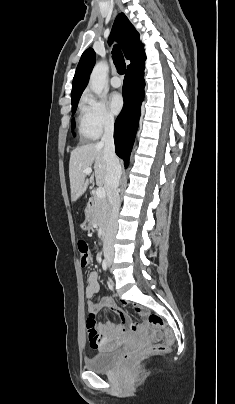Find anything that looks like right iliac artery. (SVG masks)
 Wrapping results in <instances>:
<instances>
[{
	"instance_id": "82829eb1",
	"label": "right iliac artery",
	"mask_w": 235,
	"mask_h": 404,
	"mask_svg": "<svg viewBox=\"0 0 235 404\" xmlns=\"http://www.w3.org/2000/svg\"><path fill=\"white\" fill-rule=\"evenodd\" d=\"M102 267L105 271L107 270V261L105 259L103 260Z\"/></svg>"
}]
</instances>
